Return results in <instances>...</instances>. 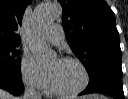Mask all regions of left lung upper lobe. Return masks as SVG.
Wrapping results in <instances>:
<instances>
[{"label": "left lung upper lobe", "mask_w": 128, "mask_h": 99, "mask_svg": "<svg viewBox=\"0 0 128 99\" xmlns=\"http://www.w3.org/2000/svg\"><path fill=\"white\" fill-rule=\"evenodd\" d=\"M63 27L75 55L90 72L101 61L121 62L119 33L105 0H59Z\"/></svg>", "instance_id": "1"}]
</instances>
